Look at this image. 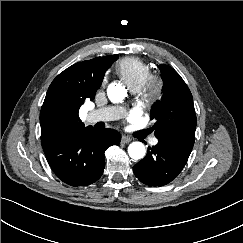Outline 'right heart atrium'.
Masks as SVG:
<instances>
[{"instance_id":"d8ad5b80","label":"right heart atrium","mask_w":243,"mask_h":243,"mask_svg":"<svg viewBox=\"0 0 243 243\" xmlns=\"http://www.w3.org/2000/svg\"><path fill=\"white\" fill-rule=\"evenodd\" d=\"M106 82H107V78L105 77V78L103 79V85H105Z\"/></svg>"}]
</instances>
